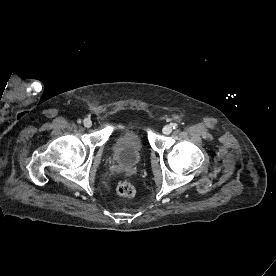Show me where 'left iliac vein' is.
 <instances>
[{
    "instance_id": "4c4485c4",
    "label": "left iliac vein",
    "mask_w": 276,
    "mask_h": 276,
    "mask_svg": "<svg viewBox=\"0 0 276 276\" xmlns=\"http://www.w3.org/2000/svg\"><path fill=\"white\" fill-rule=\"evenodd\" d=\"M162 131H163L164 134L168 135L172 132V126L171 125H166V126H164Z\"/></svg>"
}]
</instances>
